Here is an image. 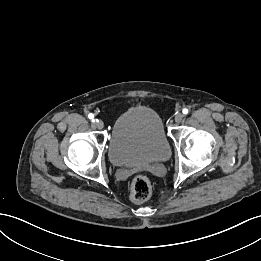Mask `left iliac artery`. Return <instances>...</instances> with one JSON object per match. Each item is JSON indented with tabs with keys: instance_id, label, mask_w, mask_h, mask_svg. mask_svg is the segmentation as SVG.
<instances>
[{
	"instance_id": "1",
	"label": "left iliac artery",
	"mask_w": 261,
	"mask_h": 261,
	"mask_svg": "<svg viewBox=\"0 0 261 261\" xmlns=\"http://www.w3.org/2000/svg\"><path fill=\"white\" fill-rule=\"evenodd\" d=\"M182 112H183V114H188V109L187 108H184L183 110H182Z\"/></svg>"
}]
</instances>
